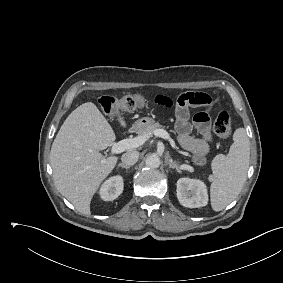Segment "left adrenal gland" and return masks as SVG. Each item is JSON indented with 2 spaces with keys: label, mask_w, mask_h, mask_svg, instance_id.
<instances>
[{
  "label": "left adrenal gland",
  "mask_w": 283,
  "mask_h": 283,
  "mask_svg": "<svg viewBox=\"0 0 283 283\" xmlns=\"http://www.w3.org/2000/svg\"><path fill=\"white\" fill-rule=\"evenodd\" d=\"M166 163L169 165V168L176 169L177 172L181 173V167L173 161L169 156L166 158Z\"/></svg>",
  "instance_id": "a2214340"
}]
</instances>
